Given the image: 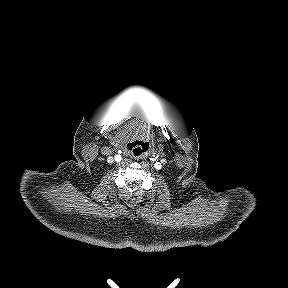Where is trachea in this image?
Returning <instances> with one entry per match:
<instances>
[{
    "instance_id": "obj_1",
    "label": "trachea",
    "mask_w": 288,
    "mask_h": 288,
    "mask_svg": "<svg viewBox=\"0 0 288 288\" xmlns=\"http://www.w3.org/2000/svg\"><path fill=\"white\" fill-rule=\"evenodd\" d=\"M127 149L134 157H140L148 151L149 144L140 139H134L127 144Z\"/></svg>"
}]
</instances>
